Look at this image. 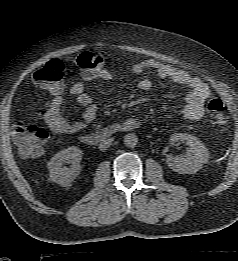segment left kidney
<instances>
[{
    "label": "left kidney",
    "mask_w": 238,
    "mask_h": 261,
    "mask_svg": "<svg viewBox=\"0 0 238 261\" xmlns=\"http://www.w3.org/2000/svg\"><path fill=\"white\" fill-rule=\"evenodd\" d=\"M178 141H185L188 145V154L181 156L167 155L166 163L170 169L180 174H194L209 160V151L195 136L187 133H175L170 137L174 145Z\"/></svg>",
    "instance_id": "1"
}]
</instances>
